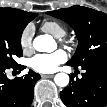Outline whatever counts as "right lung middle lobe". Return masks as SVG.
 <instances>
[{
  "mask_svg": "<svg viewBox=\"0 0 107 107\" xmlns=\"http://www.w3.org/2000/svg\"><path fill=\"white\" fill-rule=\"evenodd\" d=\"M31 20L19 17L12 9L0 8V67L18 65L13 57L22 56L21 35Z\"/></svg>",
  "mask_w": 107,
  "mask_h": 107,
  "instance_id": "right-lung-middle-lobe-1",
  "label": "right lung middle lobe"
}]
</instances>
